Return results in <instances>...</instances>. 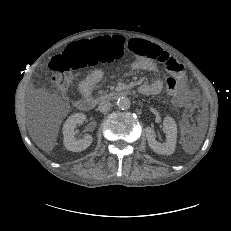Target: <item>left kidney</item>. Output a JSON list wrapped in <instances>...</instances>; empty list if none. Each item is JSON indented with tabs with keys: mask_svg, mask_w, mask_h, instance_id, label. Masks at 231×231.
<instances>
[{
	"mask_svg": "<svg viewBox=\"0 0 231 231\" xmlns=\"http://www.w3.org/2000/svg\"><path fill=\"white\" fill-rule=\"evenodd\" d=\"M163 131L166 134V142L160 143L155 139L154 129L146 127V138L150 148L158 154L171 155L175 151L177 139V125L172 117H165L163 121Z\"/></svg>",
	"mask_w": 231,
	"mask_h": 231,
	"instance_id": "obj_1",
	"label": "left kidney"
}]
</instances>
